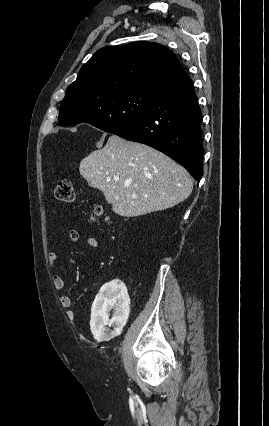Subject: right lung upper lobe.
Wrapping results in <instances>:
<instances>
[{
    "instance_id": "obj_1",
    "label": "right lung upper lobe",
    "mask_w": 269,
    "mask_h": 426,
    "mask_svg": "<svg viewBox=\"0 0 269 426\" xmlns=\"http://www.w3.org/2000/svg\"><path fill=\"white\" fill-rule=\"evenodd\" d=\"M186 76L175 55L167 48L138 41L99 49L82 66L66 95L80 94L88 99L132 89L157 92Z\"/></svg>"
}]
</instances>
